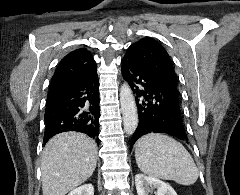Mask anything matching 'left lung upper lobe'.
Returning a JSON list of instances; mask_svg holds the SVG:
<instances>
[{
	"mask_svg": "<svg viewBox=\"0 0 240 195\" xmlns=\"http://www.w3.org/2000/svg\"><path fill=\"white\" fill-rule=\"evenodd\" d=\"M125 57L147 68L155 77L168 85L177 88V75L172 61L158 41L151 38H143L130 45Z\"/></svg>",
	"mask_w": 240,
	"mask_h": 195,
	"instance_id": "1",
	"label": "left lung upper lobe"
}]
</instances>
